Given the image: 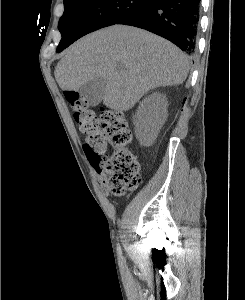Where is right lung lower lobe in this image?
Listing matches in <instances>:
<instances>
[{
  "instance_id": "1",
  "label": "right lung lower lobe",
  "mask_w": 245,
  "mask_h": 300,
  "mask_svg": "<svg viewBox=\"0 0 245 300\" xmlns=\"http://www.w3.org/2000/svg\"><path fill=\"white\" fill-rule=\"evenodd\" d=\"M200 0H151L116 24L162 36L192 54L196 47Z\"/></svg>"
}]
</instances>
